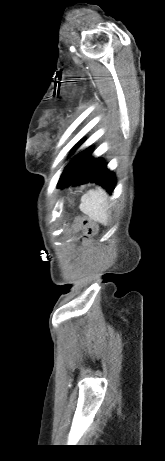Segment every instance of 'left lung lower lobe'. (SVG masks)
I'll list each match as a JSON object with an SVG mask.
<instances>
[{"label": "left lung lower lobe", "mask_w": 165, "mask_h": 461, "mask_svg": "<svg viewBox=\"0 0 165 461\" xmlns=\"http://www.w3.org/2000/svg\"><path fill=\"white\" fill-rule=\"evenodd\" d=\"M90 147L76 155L65 167L57 184L59 188L94 182L112 193L116 184L115 175L107 169L103 159L93 158Z\"/></svg>", "instance_id": "1"}]
</instances>
